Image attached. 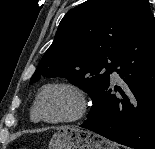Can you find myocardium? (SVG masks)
<instances>
[{
	"label": "myocardium",
	"instance_id": "1",
	"mask_svg": "<svg viewBox=\"0 0 155 149\" xmlns=\"http://www.w3.org/2000/svg\"><path fill=\"white\" fill-rule=\"evenodd\" d=\"M54 88H61V89L68 90L72 92L77 98V107H76L75 112L71 116L58 118V119H48L42 115L40 108H39L41 98L48 90L54 89ZM32 110L40 121L48 123V124L72 123V122L81 120L86 115L87 110H88L87 97H86L84 90L80 86L74 83L66 82V81L51 82V83L44 85L40 89V91L38 92L34 100Z\"/></svg>",
	"mask_w": 155,
	"mask_h": 149
}]
</instances>
